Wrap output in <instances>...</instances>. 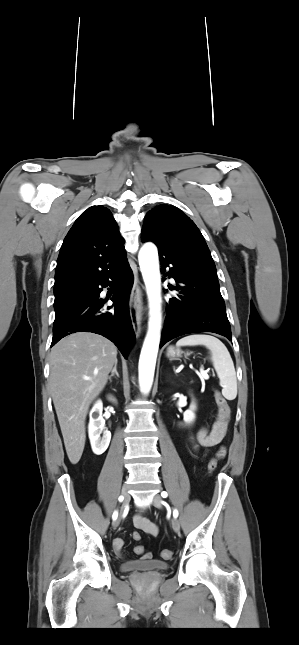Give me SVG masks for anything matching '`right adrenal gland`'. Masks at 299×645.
I'll use <instances>...</instances> for the list:
<instances>
[{
	"label": "right adrenal gland",
	"mask_w": 299,
	"mask_h": 645,
	"mask_svg": "<svg viewBox=\"0 0 299 645\" xmlns=\"http://www.w3.org/2000/svg\"><path fill=\"white\" fill-rule=\"evenodd\" d=\"M117 363H118V362L116 361V362H115V364H114V368H113V369H112V371H111V375H110V376H109V378H108L110 382H112V377H113L114 375H116V376L119 378V374H118V372H117Z\"/></svg>",
	"instance_id": "1"
}]
</instances>
